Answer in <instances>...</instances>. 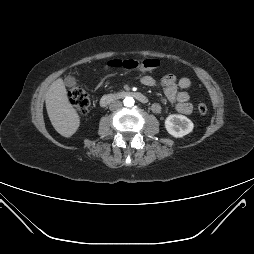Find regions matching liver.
<instances>
[{
	"instance_id": "1",
	"label": "liver",
	"mask_w": 254,
	"mask_h": 254,
	"mask_svg": "<svg viewBox=\"0 0 254 254\" xmlns=\"http://www.w3.org/2000/svg\"><path fill=\"white\" fill-rule=\"evenodd\" d=\"M45 103L54 129L64 137H71L80 125V118L68 100L65 84L61 78L50 85Z\"/></svg>"
}]
</instances>
